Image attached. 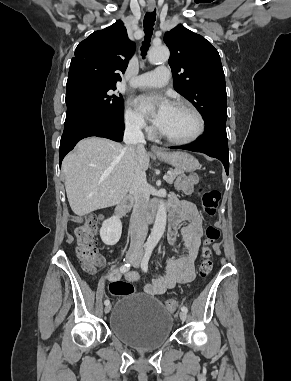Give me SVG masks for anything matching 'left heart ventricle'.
<instances>
[{
  "label": "left heart ventricle",
  "mask_w": 291,
  "mask_h": 381,
  "mask_svg": "<svg viewBox=\"0 0 291 381\" xmlns=\"http://www.w3.org/2000/svg\"><path fill=\"white\" fill-rule=\"evenodd\" d=\"M197 127L198 120L193 112L186 108L174 107L160 130L174 138H187L195 133Z\"/></svg>",
  "instance_id": "1"
}]
</instances>
